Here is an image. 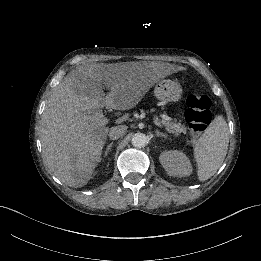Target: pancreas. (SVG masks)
Segmentation results:
<instances>
[{"mask_svg": "<svg viewBox=\"0 0 261 261\" xmlns=\"http://www.w3.org/2000/svg\"><path fill=\"white\" fill-rule=\"evenodd\" d=\"M164 114L161 115L162 120L158 119L157 117H154L158 122L161 123V127H165V129L169 132V133H173L174 135L178 136L181 133L186 134L187 133V128L184 124L181 123H177V120L174 119L173 121H167L164 119ZM177 125V126H175Z\"/></svg>", "mask_w": 261, "mask_h": 261, "instance_id": "cf45deb5", "label": "pancreas"}]
</instances>
